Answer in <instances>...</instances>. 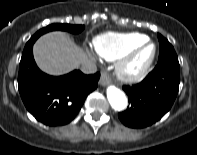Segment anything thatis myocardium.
Masks as SVG:
<instances>
[{"label": "myocardium", "instance_id": "1", "mask_svg": "<svg viewBox=\"0 0 197 155\" xmlns=\"http://www.w3.org/2000/svg\"><path fill=\"white\" fill-rule=\"evenodd\" d=\"M146 48L151 49L147 60L139 66H133V61L136 56ZM156 52V45L149 39L134 46L119 58L116 65V73L118 77L127 82H135L140 80L151 68L156 57Z\"/></svg>", "mask_w": 197, "mask_h": 155}]
</instances>
